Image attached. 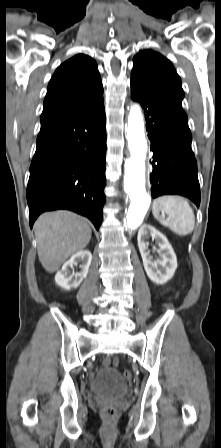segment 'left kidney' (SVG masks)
<instances>
[{
	"instance_id": "5707ae66",
	"label": "left kidney",
	"mask_w": 221,
	"mask_h": 448,
	"mask_svg": "<svg viewBox=\"0 0 221 448\" xmlns=\"http://www.w3.org/2000/svg\"><path fill=\"white\" fill-rule=\"evenodd\" d=\"M150 236L159 246V249H156L159 258L156 260L150 255L146 242ZM137 241L144 269L150 280L156 284L169 281L177 268V257L167 238L153 226L145 224L138 232Z\"/></svg>"
}]
</instances>
